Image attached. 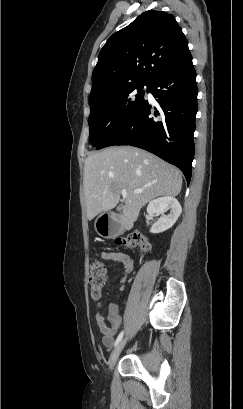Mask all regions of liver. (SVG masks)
Returning a JSON list of instances; mask_svg holds the SVG:
<instances>
[{"mask_svg": "<svg viewBox=\"0 0 243 409\" xmlns=\"http://www.w3.org/2000/svg\"><path fill=\"white\" fill-rule=\"evenodd\" d=\"M182 187L181 171L159 157L131 146H113L89 155L84 166V193L89 220L109 211L124 198L123 217L135 222L139 212L160 196H177ZM141 189L142 193L133 191Z\"/></svg>", "mask_w": 243, "mask_h": 409, "instance_id": "6515ba94", "label": "liver"}]
</instances>
